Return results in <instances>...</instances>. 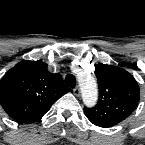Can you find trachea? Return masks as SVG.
Listing matches in <instances>:
<instances>
[{
  "label": "trachea",
  "instance_id": "obj_1",
  "mask_svg": "<svg viewBox=\"0 0 145 145\" xmlns=\"http://www.w3.org/2000/svg\"><path fill=\"white\" fill-rule=\"evenodd\" d=\"M65 84L68 86V87H71V88H74L75 87V84H76V79H75V76L72 75V74H68L65 78Z\"/></svg>",
  "mask_w": 145,
  "mask_h": 145
}]
</instances>
